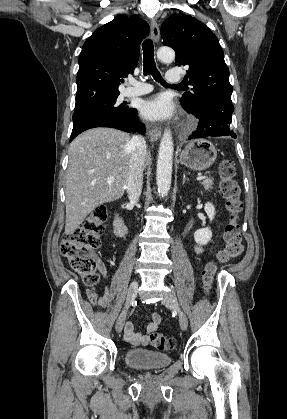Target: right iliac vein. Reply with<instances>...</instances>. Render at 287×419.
<instances>
[{
	"mask_svg": "<svg viewBox=\"0 0 287 419\" xmlns=\"http://www.w3.org/2000/svg\"><path fill=\"white\" fill-rule=\"evenodd\" d=\"M137 290H138V282L137 281H133L129 288H128V292H127V296H126V303H125V308L122 311V313L120 314L117 322H116V331L118 333H120L123 329L124 323H125V319H126V314H127V309L129 308V306L131 305V303L135 300L136 295H137Z\"/></svg>",
	"mask_w": 287,
	"mask_h": 419,
	"instance_id": "obj_1",
	"label": "right iliac vein"
}]
</instances>
